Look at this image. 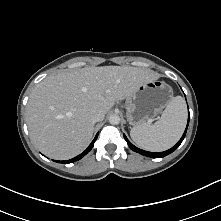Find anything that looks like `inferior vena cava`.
Listing matches in <instances>:
<instances>
[{"label":"inferior vena cava","mask_w":221,"mask_h":221,"mask_svg":"<svg viewBox=\"0 0 221 221\" xmlns=\"http://www.w3.org/2000/svg\"><path fill=\"white\" fill-rule=\"evenodd\" d=\"M104 116H105V114L102 113V112L95 113L93 118H92V121L94 123L102 121L104 119Z\"/></svg>","instance_id":"602c4592"}]
</instances>
